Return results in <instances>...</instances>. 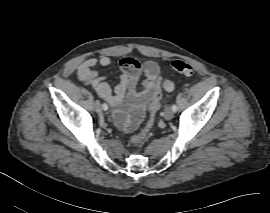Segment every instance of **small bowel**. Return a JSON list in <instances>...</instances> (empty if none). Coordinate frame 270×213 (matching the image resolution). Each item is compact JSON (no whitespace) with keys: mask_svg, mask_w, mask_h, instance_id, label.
Here are the masks:
<instances>
[{"mask_svg":"<svg viewBox=\"0 0 270 213\" xmlns=\"http://www.w3.org/2000/svg\"><path fill=\"white\" fill-rule=\"evenodd\" d=\"M111 62L108 55L87 59L79 65L78 77L83 83L93 87L103 100L115 108V115L117 109L122 106L132 107V116L127 120L118 121L119 128L131 130L146 111L158 104L161 98L160 68L154 61H146L139 65L133 58H123L119 63L123 73L121 81L112 89L96 68L107 67ZM142 72L144 79L138 85Z\"/></svg>","mask_w":270,"mask_h":213,"instance_id":"1","label":"small bowel"}]
</instances>
